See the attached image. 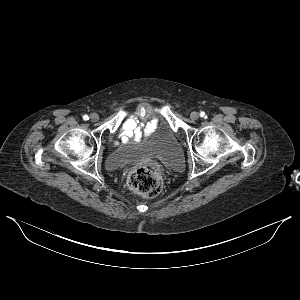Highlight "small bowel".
Wrapping results in <instances>:
<instances>
[{
    "label": "small bowel",
    "instance_id": "small-bowel-1",
    "mask_svg": "<svg viewBox=\"0 0 300 300\" xmlns=\"http://www.w3.org/2000/svg\"><path fill=\"white\" fill-rule=\"evenodd\" d=\"M151 124H147L144 126L143 131L150 129ZM142 134L141 128L138 126L136 120L132 117L127 118L121 127V136L123 139H127L129 137L139 138Z\"/></svg>",
    "mask_w": 300,
    "mask_h": 300
}]
</instances>
